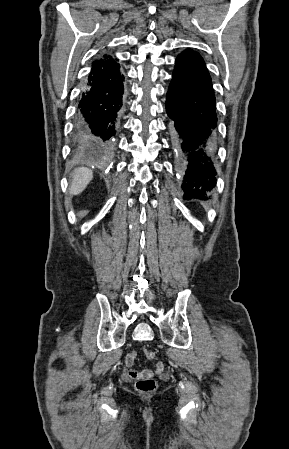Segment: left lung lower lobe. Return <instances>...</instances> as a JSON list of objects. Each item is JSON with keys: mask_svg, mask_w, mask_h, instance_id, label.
Returning <instances> with one entry per match:
<instances>
[{"mask_svg": "<svg viewBox=\"0 0 289 449\" xmlns=\"http://www.w3.org/2000/svg\"><path fill=\"white\" fill-rule=\"evenodd\" d=\"M216 103L211 77L202 57L185 50L176 59L166 95L171 119L172 146L186 161L182 189L185 198L204 199L216 185L212 161L213 132L217 127Z\"/></svg>", "mask_w": 289, "mask_h": 449, "instance_id": "left-lung-lower-lobe-1", "label": "left lung lower lobe"}]
</instances>
